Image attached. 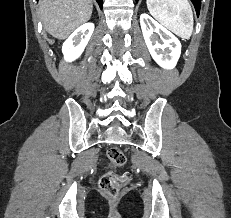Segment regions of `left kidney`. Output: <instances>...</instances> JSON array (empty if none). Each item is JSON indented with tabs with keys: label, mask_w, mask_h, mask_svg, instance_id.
I'll list each match as a JSON object with an SVG mask.
<instances>
[{
	"label": "left kidney",
	"mask_w": 231,
	"mask_h": 218,
	"mask_svg": "<svg viewBox=\"0 0 231 218\" xmlns=\"http://www.w3.org/2000/svg\"><path fill=\"white\" fill-rule=\"evenodd\" d=\"M140 24L152 58L162 68L173 69L181 54L178 38L146 13L141 14Z\"/></svg>",
	"instance_id": "obj_1"
}]
</instances>
